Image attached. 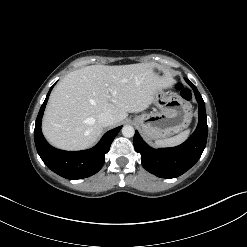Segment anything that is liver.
I'll use <instances>...</instances> for the list:
<instances>
[{
  "mask_svg": "<svg viewBox=\"0 0 247 247\" xmlns=\"http://www.w3.org/2000/svg\"><path fill=\"white\" fill-rule=\"evenodd\" d=\"M154 63L91 65L67 74L50 95L42 131L54 146L81 150L92 146L103 131L101 113L115 123L128 113L146 110L157 90L171 87Z\"/></svg>",
  "mask_w": 247,
  "mask_h": 247,
  "instance_id": "obj_1",
  "label": "liver"
}]
</instances>
